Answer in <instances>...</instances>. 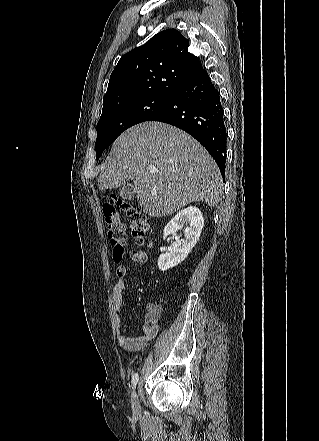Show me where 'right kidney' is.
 I'll use <instances>...</instances> for the list:
<instances>
[{"mask_svg":"<svg viewBox=\"0 0 319 441\" xmlns=\"http://www.w3.org/2000/svg\"><path fill=\"white\" fill-rule=\"evenodd\" d=\"M184 224H189V227L184 231L185 239L173 242L170 252L160 254L159 270L165 271L180 264L196 245L204 226L203 215L199 208L190 206L177 213L165 226L163 239H166L170 234H175L177 230L182 229Z\"/></svg>","mask_w":319,"mask_h":441,"instance_id":"obj_1","label":"right kidney"}]
</instances>
